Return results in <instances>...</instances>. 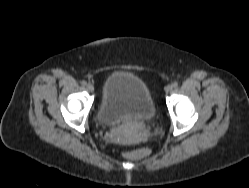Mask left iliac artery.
I'll use <instances>...</instances> for the list:
<instances>
[{"label":"left iliac artery","mask_w":249,"mask_h":188,"mask_svg":"<svg viewBox=\"0 0 249 188\" xmlns=\"http://www.w3.org/2000/svg\"><path fill=\"white\" fill-rule=\"evenodd\" d=\"M177 86H178V82H177V81H174V82L172 83V87L176 88Z\"/></svg>","instance_id":"left-iliac-artery-1"}]
</instances>
